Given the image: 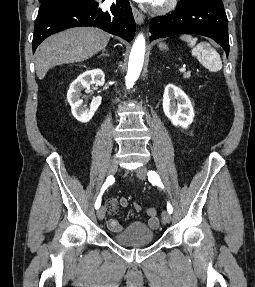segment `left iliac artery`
Listing matches in <instances>:
<instances>
[{
	"instance_id": "obj_1",
	"label": "left iliac artery",
	"mask_w": 255,
	"mask_h": 287,
	"mask_svg": "<svg viewBox=\"0 0 255 287\" xmlns=\"http://www.w3.org/2000/svg\"><path fill=\"white\" fill-rule=\"evenodd\" d=\"M147 175H148L149 181H150L153 185H157V186H159V187H161V188H164V186H163V184H162V182H161V180H160L159 175H158L155 171L150 170ZM167 211H168L170 214L173 212V208H172V206H171V204H170L169 202H168V204H167Z\"/></svg>"
}]
</instances>
